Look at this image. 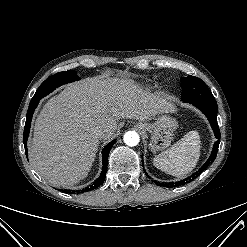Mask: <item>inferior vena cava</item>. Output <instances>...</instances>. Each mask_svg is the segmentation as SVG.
<instances>
[{"mask_svg":"<svg viewBox=\"0 0 247 247\" xmlns=\"http://www.w3.org/2000/svg\"><path fill=\"white\" fill-rule=\"evenodd\" d=\"M107 132V129H105L104 127H98L94 130V134L99 137L102 138Z\"/></svg>","mask_w":247,"mask_h":247,"instance_id":"obj_1","label":"inferior vena cava"}]
</instances>
